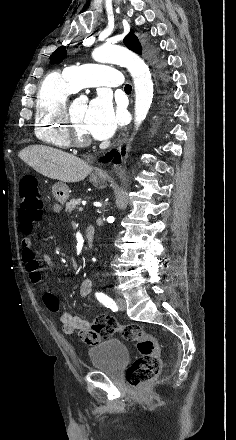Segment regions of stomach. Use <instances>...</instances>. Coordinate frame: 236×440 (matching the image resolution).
I'll return each mask as SVG.
<instances>
[{
    "label": "stomach",
    "instance_id": "1",
    "mask_svg": "<svg viewBox=\"0 0 236 440\" xmlns=\"http://www.w3.org/2000/svg\"><path fill=\"white\" fill-rule=\"evenodd\" d=\"M90 182L96 188H105L107 185V175L103 171H96L90 175ZM52 193L55 200L62 205L69 199V188L65 183H55L52 187Z\"/></svg>",
    "mask_w": 236,
    "mask_h": 440
}]
</instances>
